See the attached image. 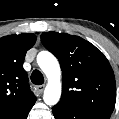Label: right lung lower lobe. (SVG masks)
Segmentation results:
<instances>
[{"label": "right lung lower lobe", "mask_w": 119, "mask_h": 119, "mask_svg": "<svg viewBox=\"0 0 119 119\" xmlns=\"http://www.w3.org/2000/svg\"><path fill=\"white\" fill-rule=\"evenodd\" d=\"M35 101L36 100L32 101L27 106L21 109L11 111L8 114L6 113V114L0 115V119H27L28 113L33 107V105L35 104Z\"/></svg>", "instance_id": "98d812e1"}]
</instances>
